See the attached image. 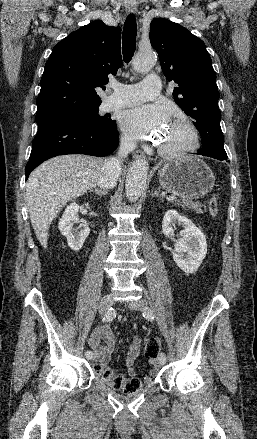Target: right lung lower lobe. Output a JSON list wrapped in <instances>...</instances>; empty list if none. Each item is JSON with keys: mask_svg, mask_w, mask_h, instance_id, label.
<instances>
[{"mask_svg": "<svg viewBox=\"0 0 257 439\" xmlns=\"http://www.w3.org/2000/svg\"><path fill=\"white\" fill-rule=\"evenodd\" d=\"M118 140L116 121L109 125H95L68 117L41 121L26 165V179L33 169L51 157L65 154L107 156L116 149Z\"/></svg>", "mask_w": 257, "mask_h": 439, "instance_id": "98d812e1", "label": "right lung lower lobe"}]
</instances>
